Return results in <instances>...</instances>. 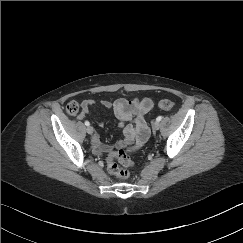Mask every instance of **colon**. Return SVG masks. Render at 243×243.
<instances>
[{
  "label": "colon",
  "mask_w": 243,
  "mask_h": 243,
  "mask_svg": "<svg viewBox=\"0 0 243 243\" xmlns=\"http://www.w3.org/2000/svg\"><path fill=\"white\" fill-rule=\"evenodd\" d=\"M158 106L164 110H171L175 107V102L170 99H161L158 102ZM79 109V104L76 101H71L66 105L65 111L68 115L75 116L79 112ZM116 160L125 167L131 166L132 160L123 150L112 152L108 157L109 171L122 179L128 178L129 171L127 169L119 168Z\"/></svg>",
  "instance_id": "obj_1"
}]
</instances>
